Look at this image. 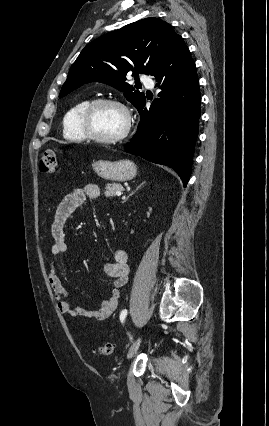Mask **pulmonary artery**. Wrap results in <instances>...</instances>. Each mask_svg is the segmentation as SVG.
<instances>
[{
	"label": "pulmonary artery",
	"instance_id": "obj_1",
	"mask_svg": "<svg viewBox=\"0 0 269 426\" xmlns=\"http://www.w3.org/2000/svg\"><path fill=\"white\" fill-rule=\"evenodd\" d=\"M141 81L148 88H153L154 86V81L149 75H142Z\"/></svg>",
	"mask_w": 269,
	"mask_h": 426
}]
</instances>
